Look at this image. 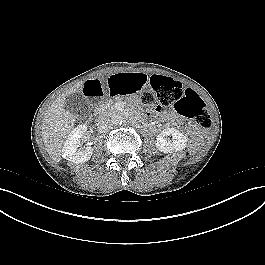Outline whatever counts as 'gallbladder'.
I'll use <instances>...</instances> for the list:
<instances>
[{"label":"gallbladder","instance_id":"bac80fb5","mask_svg":"<svg viewBox=\"0 0 265 265\" xmlns=\"http://www.w3.org/2000/svg\"><path fill=\"white\" fill-rule=\"evenodd\" d=\"M66 110L73 113L78 119L86 118L89 114L88 101L79 93L66 96Z\"/></svg>","mask_w":265,"mask_h":265}]
</instances>
